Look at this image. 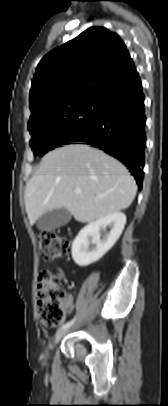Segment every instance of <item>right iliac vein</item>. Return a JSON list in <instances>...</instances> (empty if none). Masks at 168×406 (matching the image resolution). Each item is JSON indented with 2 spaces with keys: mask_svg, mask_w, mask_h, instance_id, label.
I'll use <instances>...</instances> for the list:
<instances>
[{
  "mask_svg": "<svg viewBox=\"0 0 168 406\" xmlns=\"http://www.w3.org/2000/svg\"><path fill=\"white\" fill-rule=\"evenodd\" d=\"M68 332V328L66 329H59L54 337L53 345L57 344L60 339Z\"/></svg>",
  "mask_w": 168,
  "mask_h": 406,
  "instance_id": "right-iliac-vein-1",
  "label": "right iliac vein"
}]
</instances>
